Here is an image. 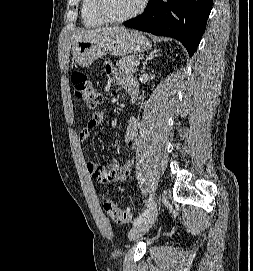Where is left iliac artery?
I'll return each mask as SVG.
<instances>
[{"mask_svg": "<svg viewBox=\"0 0 253 271\" xmlns=\"http://www.w3.org/2000/svg\"><path fill=\"white\" fill-rule=\"evenodd\" d=\"M152 202H153L152 197H150L146 204V209L135 219V221L133 222L134 225L138 223L140 220H142V218L149 213Z\"/></svg>", "mask_w": 253, "mask_h": 271, "instance_id": "obj_1", "label": "left iliac artery"}]
</instances>
